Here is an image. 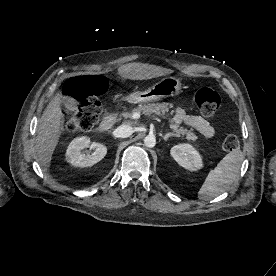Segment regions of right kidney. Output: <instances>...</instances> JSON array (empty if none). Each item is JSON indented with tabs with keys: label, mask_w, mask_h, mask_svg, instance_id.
I'll use <instances>...</instances> for the list:
<instances>
[{
	"label": "right kidney",
	"mask_w": 276,
	"mask_h": 276,
	"mask_svg": "<svg viewBox=\"0 0 276 276\" xmlns=\"http://www.w3.org/2000/svg\"><path fill=\"white\" fill-rule=\"evenodd\" d=\"M94 149L92 154H84V148ZM107 154V148L102 143H91L86 136L77 137L71 141L66 151V160L76 167H90L101 161Z\"/></svg>",
	"instance_id": "ca27d5eb"
}]
</instances>
